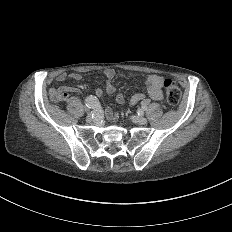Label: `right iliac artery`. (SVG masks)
I'll return each instance as SVG.
<instances>
[{"instance_id": "1", "label": "right iliac artery", "mask_w": 232, "mask_h": 232, "mask_svg": "<svg viewBox=\"0 0 232 232\" xmlns=\"http://www.w3.org/2000/svg\"><path fill=\"white\" fill-rule=\"evenodd\" d=\"M99 104V100L96 96L94 95H90L88 96L86 99H85V105L88 107V108H95L97 107Z\"/></svg>"}]
</instances>
